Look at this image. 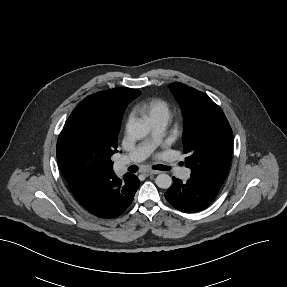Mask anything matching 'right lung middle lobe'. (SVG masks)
<instances>
[{
	"mask_svg": "<svg viewBox=\"0 0 287 287\" xmlns=\"http://www.w3.org/2000/svg\"><path fill=\"white\" fill-rule=\"evenodd\" d=\"M101 117L79 105L73 110L57 142V160L63 175L80 181L97 180L112 168L117 142L95 131Z\"/></svg>",
	"mask_w": 287,
	"mask_h": 287,
	"instance_id": "dd1d6c3e",
	"label": "right lung middle lobe"
}]
</instances>
